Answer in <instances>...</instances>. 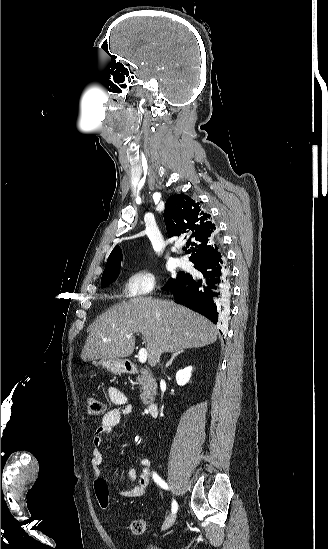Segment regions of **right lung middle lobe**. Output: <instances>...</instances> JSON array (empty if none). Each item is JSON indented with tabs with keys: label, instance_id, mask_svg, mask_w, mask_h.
Masks as SVG:
<instances>
[{
	"label": "right lung middle lobe",
	"instance_id": "obj_1",
	"mask_svg": "<svg viewBox=\"0 0 328 549\" xmlns=\"http://www.w3.org/2000/svg\"><path fill=\"white\" fill-rule=\"evenodd\" d=\"M121 267V262H118L108 270H106L101 279V287L104 288L107 285H109L111 282H113L117 276L119 275V268ZM188 273L180 272L175 279H170L169 282L166 284L165 287L170 286L171 284L177 282L178 280L183 279L185 276H187Z\"/></svg>",
	"mask_w": 328,
	"mask_h": 549
}]
</instances>
